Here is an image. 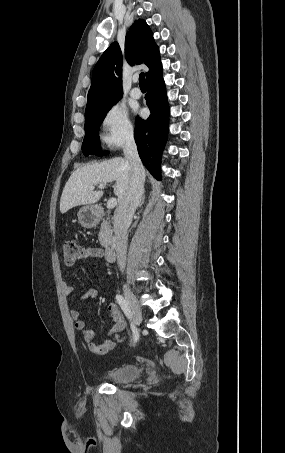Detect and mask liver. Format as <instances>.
<instances>
[{
    "mask_svg": "<svg viewBox=\"0 0 285 453\" xmlns=\"http://www.w3.org/2000/svg\"><path fill=\"white\" fill-rule=\"evenodd\" d=\"M131 170L126 160L115 157L100 163L77 168L70 176L60 199V212L66 213L79 205H91L100 200L103 191H93L90 187L115 181L114 193L119 201L129 189Z\"/></svg>",
    "mask_w": 285,
    "mask_h": 453,
    "instance_id": "6515ba94",
    "label": "liver"
}]
</instances>
